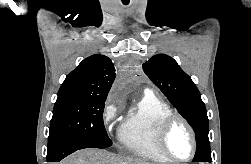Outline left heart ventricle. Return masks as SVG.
I'll list each match as a JSON object with an SVG mask.
<instances>
[{"label":"left heart ventricle","instance_id":"b2bd125f","mask_svg":"<svg viewBox=\"0 0 251 164\" xmlns=\"http://www.w3.org/2000/svg\"><path fill=\"white\" fill-rule=\"evenodd\" d=\"M167 148L176 158H187L191 154L192 142L188 130L180 122L175 123L167 137Z\"/></svg>","mask_w":251,"mask_h":164}]
</instances>
